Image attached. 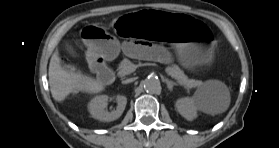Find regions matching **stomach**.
<instances>
[{"label":"stomach","instance_id":"obj_1","mask_svg":"<svg viewBox=\"0 0 279 148\" xmlns=\"http://www.w3.org/2000/svg\"><path fill=\"white\" fill-rule=\"evenodd\" d=\"M120 35L125 40L135 37L141 42L176 47L181 64L189 69L211 63L212 49L218 42L217 26L206 16L146 7L120 16L115 25L84 22L76 30L75 42L84 53L111 59L119 52Z\"/></svg>","mask_w":279,"mask_h":148}]
</instances>
